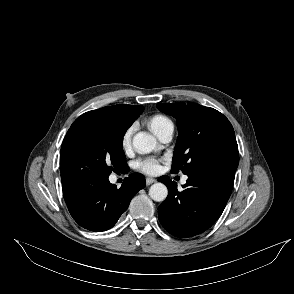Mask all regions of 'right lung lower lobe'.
<instances>
[{
    "instance_id": "98d812e1",
    "label": "right lung lower lobe",
    "mask_w": 294,
    "mask_h": 294,
    "mask_svg": "<svg viewBox=\"0 0 294 294\" xmlns=\"http://www.w3.org/2000/svg\"><path fill=\"white\" fill-rule=\"evenodd\" d=\"M145 187V178L137 173L124 179L120 188L108 177L63 184V196L74 220L91 231L112 228L124 213L132 197Z\"/></svg>"
}]
</instances>
